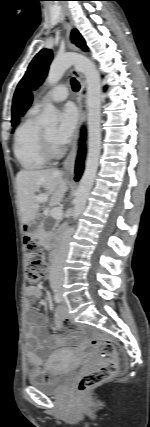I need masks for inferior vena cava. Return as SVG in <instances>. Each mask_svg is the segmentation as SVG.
Wrapping results in <instances>:
<instances>
[{
	"label": "inferior vena cava",
	"mask_w": 150,
	"mask_h": 427,
	"mask_svg": "<svg viewBox=\"0 0 150 427\" xmlns=\"http://www.w3.org/2000/svg\"><path fill=\"white\" fill-rule=\"evenodd\" d=\"M71 235L72 229L67 228L63 236L61 247L57 252L55 259L51 265L49 281L52 287L59 286L64 281L63 267L68 254V243Z\"/></svg>",
	"instance_id": "602c4592"
}]
</instances>
